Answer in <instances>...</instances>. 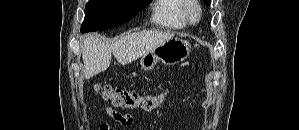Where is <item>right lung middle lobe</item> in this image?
<instances>
[{
	"label": "right lung middle lobe",
	"instance_id": "dd1d6c3e",
	"mask_svg": "<svg viewBox=\"0 0 299 130\" xmlns=\"http://www.w3.org/2000/svg\"><path fill=\"white\" fill-rule=\"evenodd\" d=\"M151 0H89L81 32L102 31L132 19Z\"/></svg>",
	"mask_w": 299,
	"mask_h": 130
}]
</instances>
